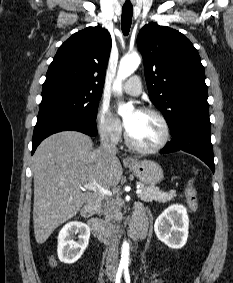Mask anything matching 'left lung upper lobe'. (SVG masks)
Listing matches in <instances>:
<instances>
[{
	"mask_svg": "<svg viewBox=\"0 0 233 283\" xmlns=\"http://www.w3.org/2000/svg\"><path fill=\"white\" fill-rule=\"evenodd\" d=\"M137 45L149 97L169 128L191 117H209L204 67L189 39L175 29L149 23L139 32Z\"/></svg>",
	"mask_w": 233,
	"mask_h": 283,
	"instance_id": "left-lung-upper-lobe-1",
	"label": "left lung upper lobe"
}]
</instances>
